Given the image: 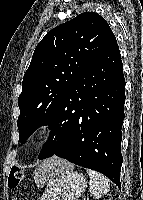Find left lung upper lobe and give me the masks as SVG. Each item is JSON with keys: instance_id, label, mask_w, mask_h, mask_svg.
I'll return each instance as SVG.
<instances>
[{"instance_id": "1", "label": "left lung upper lobe", "mask_w": 143, "mask_h": 200, "mask_svg": "<svg viewBox=\"0 0 143 200\" xmlns=\"http://www.w3.org/2000/svg\"><path fill=\"white\" fill-rule=\"evenodd\" d=\"M114 37L106 20L95 12H84L45 35L33 53L18 98L21 143L41 125L66 124L68 93Z\"/></svg>"}]
</instances>
